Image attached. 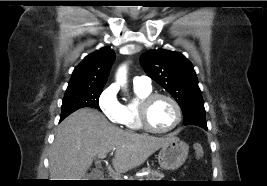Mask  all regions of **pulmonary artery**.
<instances>
[{
  "label": "pulmonary artery",
  "mask_w": 267,
  "mask_h": 186,
  "mask_svg": "<svg viewBox=\"0 0 267 186\" xmlns=\"http://www.w3.org/2000/svg\"><path fill=\"white\" fill-rule=\"evenodd\" d=\"M133 83L136 86H142V87H146V88L151 87V80L149 77H146V76L135 77Z\"/></svg>",
  "instance_id": "e3ab8cb5"
}]
</instances>
